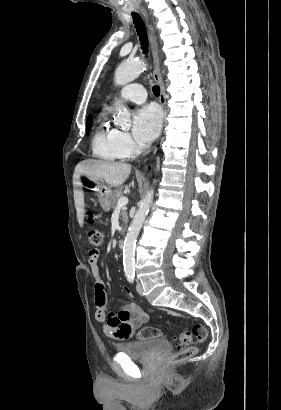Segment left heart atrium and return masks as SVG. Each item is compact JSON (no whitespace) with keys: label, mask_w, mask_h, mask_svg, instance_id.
<instances>
[{"label":"left heart atrium","mask_w":281,"mask_h":410,"mask_svg":"<svg viewBox=\"0 0 281 410\" xmlns=\"http://www.w3.org/2000/svg\"><path fill=\"white\" fill-rule=\"evenodd\" d=\"M162 116L154 105H147L138 109L133 118V135L141 143L154 140L161 128Z\"/></svg>","instance_id":"obj_1"}]
</instances>
